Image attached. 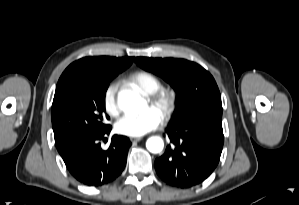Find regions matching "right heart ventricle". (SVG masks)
<instances>
[{
  "label": "right heart ventricle",
  "mask_w": 299,
  "mask_h": 205,
  "mask_svg": "<svg viewBox=\"0 0 299 205\" xmlns=\"http://www.w3.org/2000/svg\"><path fill=\"white\" fill-rule=\"evenodd\" d=\"M128 82L146 95L156 92L161 87L160 80L154 74L147 71H138L131 74Z\"/></svg>",
  "instance_id": "obj_1"
}]
</instances>
